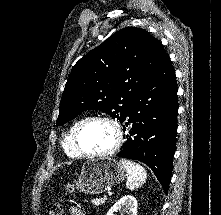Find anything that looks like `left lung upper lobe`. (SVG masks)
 <instances>
[{
    "instance_id": "5c2ea615",
    "label": "left lung upper lobe",
    "mask_w": 221,
    "mask_h": 215,
    "mask_svg": "<svg viewBox=\"0 0 221 215\" xmlns=\"http://www.w3.org/2000/svg\"><path fill=\"white\" fill-rule=\"evenodd\" d=\"M167 57L160 41L144 29L126 27L116 32L73 67L57 125L87 109L122 122L136 93Z\"/></svg>"
}]
</instances>
